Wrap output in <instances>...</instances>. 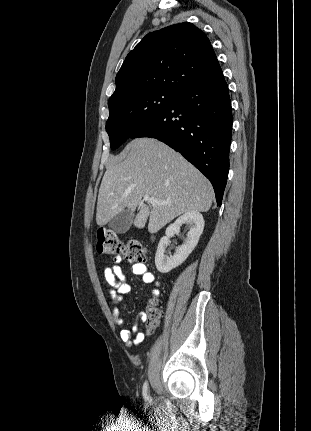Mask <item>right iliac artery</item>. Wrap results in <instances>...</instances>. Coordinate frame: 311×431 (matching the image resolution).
Returning a JSON list of instances; mask_svg holds the SVG:
<instances>
[{
	"label": "right iliac artery",
	"mask_w": 311,
	"mask_h": 431,
	"mask_svg": "<svg viewBox=\"0 0 311 431\" xmlns=\"http://www.w3.org/2000/svg\"><path fill=\"white\" fill-rule=\"evenodd\" d=\"M143 397L145 399L148 398V383H147V381H145V383L143 384Z\"/></svg>",
	"instance_id": "82829eb1"
}]
</instances>
